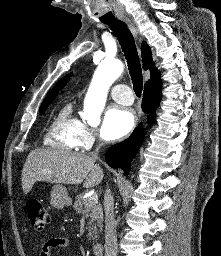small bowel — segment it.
Returning a JSON list of instances; mask_svg holds the SVG:
<instances>
[{
	"instance_id": "c3829d8e",
	"label": "small bowel",
	"mask_w": 221,
	"mask_h": 256,
	"mask_svg": "<svg viewBox=\"0 0 221 256\" xmlns=\"http://www.w3.org/2000/svg\"><path fill=\"white\" fill-rule=\"evenodd\" d=\"M69 245L70 241L67 238H51L43 243L40 256H52L54 250L66 249Z\"/></svg>"
}]
</instances>
